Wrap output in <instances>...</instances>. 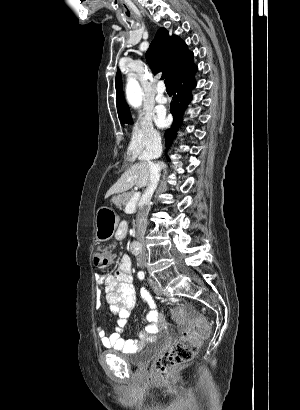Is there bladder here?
I'll return each mask as SVG.
<instances>
[{
    "label": "bladder",
    "mask_w": 300,
    "mask_h": 410,
    "mask_svg": "<svg viewBox=\"0 0 300 410\" xmlns=\"http://www.w3.org/2000/svg\"><path fill=\"white\" fill-rule=\"evenodd\" d=\"M156 352V346L148 345L141 348L133 355L123 356L122 359L123 361L134 367H144L151 361V359L155 356Z\"/></svg>",
    "instance_id": "31cf9c89"
}]
</instances>
